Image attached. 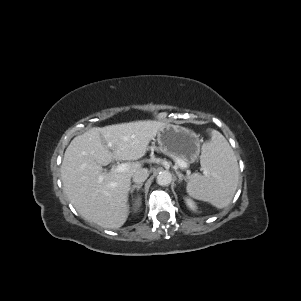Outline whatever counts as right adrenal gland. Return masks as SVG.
I'll return each instance as SVG.
<instances>
[{
  "label": "right adrenal gland",
  "instance_id": "obj_1",
  "mask_svg": "<svg viewBox=\"0 0 301 301\" xmlns=\"http://www.w3.org/2000/svg\"><path fill=\"white\" fill-rule=\"evenodd\" d=\"M142 186H143V184H136V185H133V186L130 188V193H133L135 189L139 190Z\"/></svg>",
  "mask_w": 301,
  "mask_h": 301
}]
</instances>
